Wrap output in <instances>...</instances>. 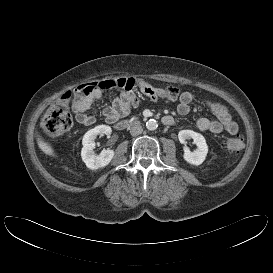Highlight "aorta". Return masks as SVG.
Segmentation results:
<instances>
[{
  "mask_svg": "<svg viewBox=\"0 0 273 273\" xmlns=\"http://www.w3.org/2000/svg\"><path fill=\"white\" fill-rule=\"evenodd\" d=\"M158 127V123L154 119H150L146 122V128L150 131L156 130Z\"/></svg>",
  "mask_w": 273,
  "mask_h": 273,
  "instance_id": "1",
  "label": "aorta"
}]
</instances>
